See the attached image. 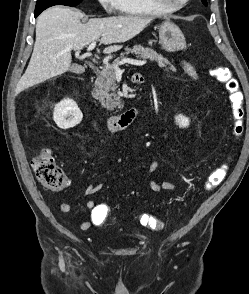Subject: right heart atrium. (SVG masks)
Returning a JSON list of instances; mask_svg holds the SVG:
<instances>
[{
	"mask_svg": "<svg viewBox=\"0 0 249 294\" xmlns=\"http://www.w3.org/2000/svg\"><path fill=\"white\" fill-rule=\"evenodd\" d=\"M99 2L103 6V8L108 12H112L118 9L117 0H99Z\"/></svg>",
	"mask_w": 249,
	"mask_h": 294,
	"instance_id": "obj_1",
	"label": "right heart atrium"
}]
</instances>
